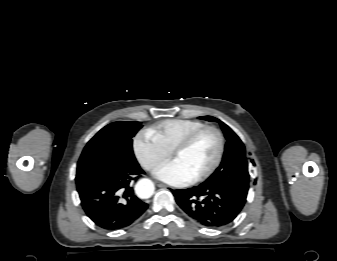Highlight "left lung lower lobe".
<instances>
[{"label": "left lung lower lobe", "mask_w": 337, "mask_h": 261, "mask_svg": "<svg viewBox=\"0 0 337 261\" xmlns=\"http://www.w3.org/2000/svg\"><path fill=\"white\" fill-rule=\"evenodd\" d=\"M172 192L177 204L191 219L210 228L231 223L245 204L238 195L220 186L200 184Z\"/></svg>", "instance_id": "1"}]
</instances>
